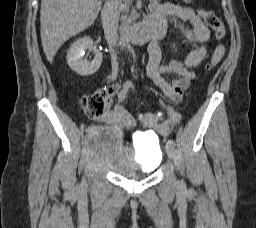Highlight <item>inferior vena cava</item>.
I'll return each instance as SVG.
<instances>
[{"label": "inferior vena cava", "instance_id": "602c4592", "mask_svg": "<svg viewBox=\"0 0 256 228\" xmlns=\"http://www.w3.org/2000/svg\"><path fill=\"white\" fill-rule=\"evenodd\" d=\"M119 14L120 8L117 0H109L105 3L102 10V24L105 38L112 44H115L118 38Z\"/></svg>", "mask_w": 256, "mask_h": 228}]
</instances>
